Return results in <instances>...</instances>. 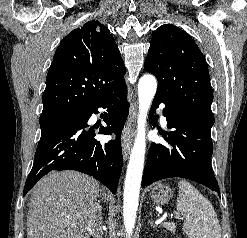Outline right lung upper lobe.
I'll use <instances>...</instances> for the list:
<instances>
[{"label":"right lung upper lobe","instance_id":"1","mask_svg":"<svg viewBox=\"0 0 247 238\" xmlns=\"http://www.w3.org/2000/svg\"><path fill=\"white\" fill-rule=\"evenodd\" d=\"M126 68L107 27L93 20L57 48L46 78L40 121L72 115L125 83Z\"/></svg>","mask_w":247,"mask_h":238}]
</instances>
